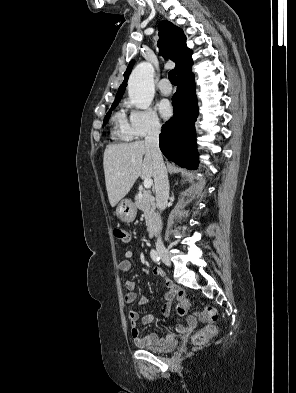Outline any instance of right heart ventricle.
<instances>
[{
	"instance_id": "e07e8e85",
	"label": "right heart ventricle",
	"mask_w": 296,
	"mask_h": 393,
	"mask_svg": "<svg viewBox=\"0 0 296 393\" xmlns=\"http://www.w3.org/2000/svg\"><path fill=\"white\" fill-rule=\"evenodd\" d=\"M114 122V137L121 140H131L133 138L129 123L123 110H120L115 114Z\"/></svg>"
}]
</instances>
